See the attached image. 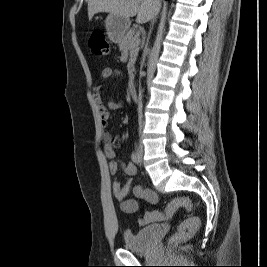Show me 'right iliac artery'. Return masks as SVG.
Listing matches in <instances>:
<instances>
[{
	"label": "right iliac artery",
	"instance_id": "right-iliac-artery-1",
	"mask_svg": "<svg viewBox=\"0 0 267 267\" xmlns=\"http://www.w3.org/2000/svg\"><path fill=\"white\" fill-rule=\"evenodd\" d=\"M131 159L134 163L139 164L140 163V158L136 152H133L131 155Z\"/></svg>",
	"mask_w": 267,
	"mask_h": 267
}]
</instances>
